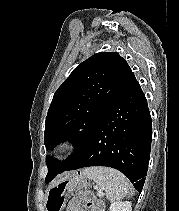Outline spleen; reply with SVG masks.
Returning a JSON list of instances; mask_svg holds the SVG:
<instances>
[{"label": "spleen", "instance_id": "obj_1", "mask_svg": "<svg viewBox=\"0 0 179 211\" xmlns=\"http://www.w3.org/2000/svg\"><path fill=\"white\" fill-rule=\"evenodd\" d=\"M83 176L93 180L98 191L104 190L106 198L111 202H117L127 196L131 190L126 177L113 168L89 167L82 172Z\"/></svg>", "mask_w": 179, "mask_h": 211}]
</instances>
